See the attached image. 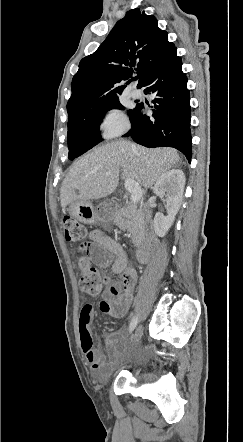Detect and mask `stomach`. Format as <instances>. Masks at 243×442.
<instances>
[{
	"label": "stomach",
	"instance_id": "1",
	"mask_svg": "<svg viewBox=\"0 0 243 442\" xmlns=\"http://www.w3.org/2000/svg\"><path fill=\"white\" fill-rule=\"evenodd\" d=\"M68 211L74 218L85 224L102 223L111 219L106 205L98 210L90 201H75L70 204Z\"/></svg>",
	"mask_w": 243,
	"mask_h": 442
}]
</instances>
